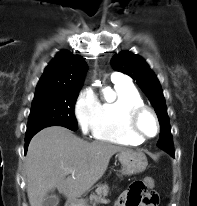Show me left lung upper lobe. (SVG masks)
Here are the masks:
<instances>
[{
  "label": "left lung upper lobe",
  "mask_w": 197,
  "mask_h": 206,
  "mask_svg": "<svg viewBox=\"0 0 197 206\" xmlns=\"http://www.w3.org/2000/svg\"><path fill=\"white\" fill-rule=\"evenodd\" d=\"M112 67L136 80L149 98L160 123V136L157 146L168 151L173 149L169 117L160 83L148 64L140 56L128 51L121 52L111 59Z\"/></svg>",
  "instance_id": "5c2ea615"
}]
</instances>
